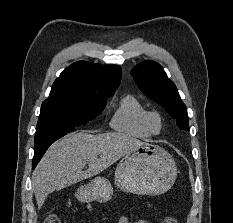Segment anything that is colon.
I'll use <instances>...</instances> for the list:
<instances>
[{"label":"colon","mask_w":233,"mask_h":223,"mask_svg":"<svg viewBox=\"0 0 233 223\" xmlns=\"http://www.w3.org/2000/svg\"><path fill=\"white\" fill-rule=\"evenodd\" d=\"M45 223H61L60 218L55 214H50L46 220ZM162 223H177V220L174 216H165L162 220Z\"/></svg>","instance_id":"1"}]
</instances>
